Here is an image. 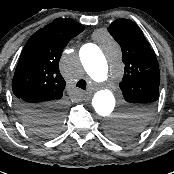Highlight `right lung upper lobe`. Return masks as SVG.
I'll return each instance as SVG.
<instances>
[{"mask_svg":"<svg viewBox=\"0 0 174 174\" xmlns=\"http://www.w3.org/2000/svg\"><path fill=\"white\" fill-rule=\"evenodd\" d=\"M84 30V26L72 19L58 18L34 33L22 50L12 81L15 99L56 102L65 88L59 71V59L63 48ZM47 109L24 115L28 124L45 121Z\"/></svg>","mask_w":174,"mask_h":174,"instance_id":"right-lung-upper-lobe-1","label":"right lung upper lobe"}]
</instances>
